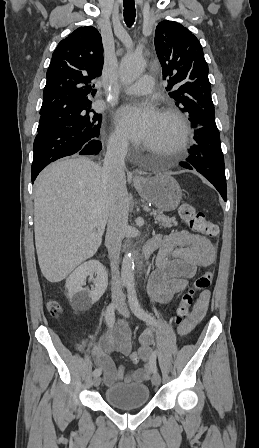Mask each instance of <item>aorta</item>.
<instances>
[{"mask_svg":"<svg viewBox=\"0 0 259 448\" xmlns=\"http://www.w3.org/2000/svg\"><path fill=\"white\" fill-rule=\"evenodd\" d=\"M145 69V60L136 54L126 55L120 64L119 75L122 82L130 84L139 78ZM134 258L127 252L122 261L121 280L128 292H134Z\"/></svg>","mask_w":259,"mask_h":448,"instance_id":"762f6f07","label":"aorta"}]
</instances>
